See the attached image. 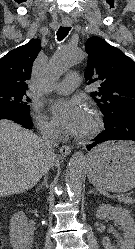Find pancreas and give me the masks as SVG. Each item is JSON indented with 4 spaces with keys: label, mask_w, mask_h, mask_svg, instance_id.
Listing matches in <instances>:
<instances>
[{
    "label": "pancreas",
    "mask_w": 135,
    "mask_h": 249,
    "mask_svg": "<svg viewBox=\"0 0 135 249\" xmlns=\"http://www.w3.org/2000/svg\"><path fill=\"white\" fill-rule=\"evenodd\" d=\"M119 201L123 202L125 204H133V203H135V199H132V198H130L128 196H121V197H119Z\"/></svg>",
    "instance_id": "cf45deb5"
}]
</instances>
